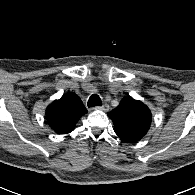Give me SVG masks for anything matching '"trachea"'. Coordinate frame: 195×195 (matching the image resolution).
<instances>
[{
	"mask_svg": "<svg viewBox=\"0 0 195 195\" xmlns=\"http://www.w3.org/2000/svg\"><path fill=\"white\" fill-rule=\"evenodd\" d=\"M87 105H88V107L101 106L102 101L97 94H93L90 96Z\"/></svg>",
	"mask_w": 195,
	"mask_h": 195,
	"instance_id": "3493384b",
	"label": "trachea"
}]
</instances>
